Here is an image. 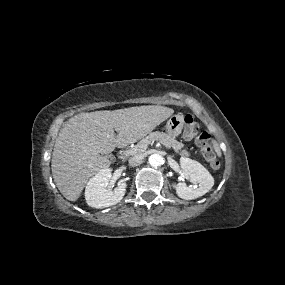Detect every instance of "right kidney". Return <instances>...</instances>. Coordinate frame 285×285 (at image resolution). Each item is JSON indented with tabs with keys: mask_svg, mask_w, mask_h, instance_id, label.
I'll list each match as a JSON object with an SVG mask.
<instances>
[{
	"mask_svg": "<svg viewBox=\"0 0 285 285\" xmlns=\"http://www.w3.org/2000/svg\"><path fill=\"white\" fill-rule=\"evenodd\" d=\"M111 177L110 169H103L92 177L85 189V199L90 207L102 209L120 202L125 195L126 183L120 181L118 186L112 190L108 188Z\"/></svg>",
	"mask_w": 285,
	"mask_h": 285,
	"instance_id": "1",
	"label": "right kidney"
}]
</instances>
